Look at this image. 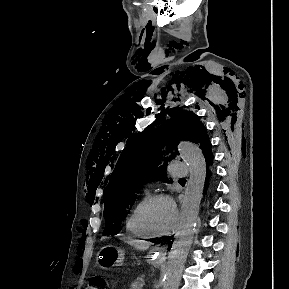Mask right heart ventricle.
I'll use <instances>...</instances> for the list:
<instances>
[{
    "mask_svg": "<svg viewBox=\"0 0 289 289\" xmlns=\"http://www.w3.org/2000/svg\"><path fill=\"white\" fill-rule=\"evenodd\" d=\"M147 197L148 195L145 194L130 210V212L127 214L126 219H125L126 231L129 234L138 238H150L151 237L143 230L138 220V214H139L140 208L142 207Z\"/></svg>",
    "mask_w": 289,
    "mask_h": 289,
    "instance_id": "obj_1",
    "label": "right heart ventricle"
}]
</instances>
